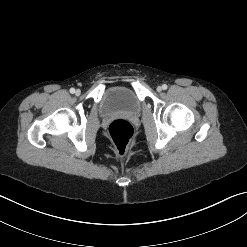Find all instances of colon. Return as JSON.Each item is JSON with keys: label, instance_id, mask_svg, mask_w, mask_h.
I'll use <instances>...</instances> for the list:
<instances>
[{"label": "colon", "instance_id": "obj_1", "mask_svg": "<svg viewBox=\"0 0 247 247\" xmlns=\"http://www.w3.org/2000/svg\"><path fill=\"white\" fill-rule=\"evenodd\" d=\"M133 135V127L126 120L118 119L109 125L108 136L119 156H124L127 153L132 142Z\"/></svg>", "mask_w": 247, "mask_h": 247}]
</instances>
